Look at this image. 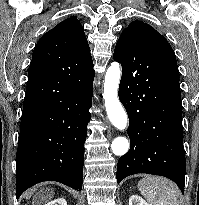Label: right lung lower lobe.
I'll use <instances>...</instances> for the list:
<instances>
[{
  "label": "right lung lower lobe",
  "instance_id": "obj_1",
  "mask_svg": "<svg viewBox=\"0 0 199 205\" xmlns=\"http://www.w3.org/2000/svg\"><path fill=\"white\" fill-rule=\"evenodd\" d=\"M94 75L75 80L62 95L22 113L16 154V197L43 181L82 189L84 142ZM49 88L27 84L25 96Z\"/></svg>",
  "mask_w": 199,
  "mask_h": 205
}]
</instances>
